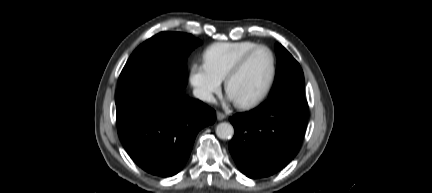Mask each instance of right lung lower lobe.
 <instances>
[{
  "label": "right lung lower lobe",
  "instance_id": "right-lung-lower-lobe-1",
  "mask_svg": "<svg viewBox=\"0 0 432 193\" xmlns=\"http://www.w3.org/2000/svg\"><path fill=\"white\" fill-rule=\"evenodd\" d=\"M115 102L126 151L146 172L162 177L183 168L199 130L216 119L213 109L156 77L119 86Z\"/></svg>",
  "mask_w": 432,
  "mask_h": 193
}]
</instances>
